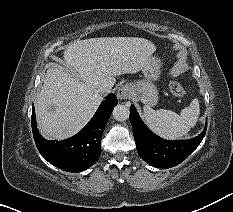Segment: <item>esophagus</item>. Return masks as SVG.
Here are the masks:
<instances>
[{"instance_id": "obj_1", "label": "esophagus", "mask_w": 233, "mask_h": 212, "mask_svg": "<svg viewBox=\"0 0 233 212\" xmlns=\"http://www.w3.org/2000/svg\"><path fill=\"white\" fill-rule=\"evenodd\" d=\"M117 96L121 100L131 99L132 88L129 85H123L118 89Z\"/></svg>"}]
</instances>
